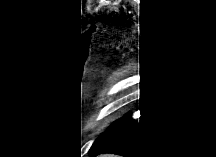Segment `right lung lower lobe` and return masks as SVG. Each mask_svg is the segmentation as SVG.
Listing matches in <instances>:
<instances>
[{
	"instance_id": "98d812e1",
	"label": "right lung lower lobe",
	"mask_w": 216,
	"mask_h": 157,
	"mask_svg": "<svg viewBox=\"0 0 216 157\" xmlns=\"http://www.w3.org/2000/svg\"><path fill=\"white\" fill-rule=\"evenodd\" d=\"M141 98L140 106L134 105L123 117L120 124L98 144L92 146L89 154L97 156L113 153L121 157H155L157 127Z\"/></svg>"
}]
</instances>
